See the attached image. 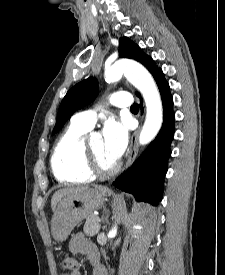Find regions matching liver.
<instances>
[{"label":"liver","mask_w":225,"mask_h":275,"mask_svg":"<svg viewBox=\"0 0 225 275\" xmlns=\"http://www.w3.org/2000/svg\"><path fill=\"white\" fill-rule=\"evenodd\" d=\"M88 190H90V188L88 186H77V187L63 188V189L56 191L51 198L52 210H55L57 204L65 196L82 193V192H85Z\"/></svg>","instance_id":"liver-1"}]
</instances>
